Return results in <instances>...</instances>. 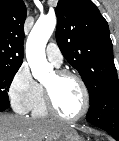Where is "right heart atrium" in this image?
Listing matches in <instances>:
<instances>
[{"label": "right heart atrium", "mask_w": 119, "mask_h": 141, "mask_svg": "<svg viewBox=\"0 0 119 141\" xmlns=\"http://www.w3.org/2000/svg\"><path fill=\"white\" fill-rule=\"evenodd\" d=\"M40 92V85L34 80L29 67L22 64L14 74L8 90L13 108L19 113L31 111Z\"/></svg>", "instance_id": "obj_1"}]
</instances>
